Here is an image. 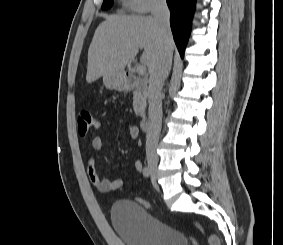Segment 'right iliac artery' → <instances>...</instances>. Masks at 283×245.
Instances as JSON below:
<instances>
[{"label":"right iliac artery","mask_w":283,"mask_h":245,"mask_svg":"<svg viewBox=\"0 0 283 245\" xmlns=\"http://www.w3.org/2000/svg\"><path fill=\"white\" fill-rule=\"evenodd\" d=\"M150 169L148 167H144L143 169V175L144 177L148 178L150 176Z\"/></svg>","instance_id":"obj_1"}]
</instances>
